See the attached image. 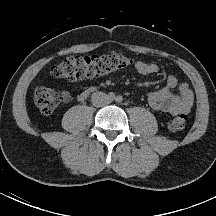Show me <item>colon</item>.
Masks as SVG:
<instances>
[{
    "label": "colon",
    "mask_w": 216,
    "mask_h": 216,
    "mask_svg": "<svg viewBox=\"0 0 216 216\" xmlns=\"http://www.w3.org/2000/svg\"><path fill=\"white\" fill-rule=\"evenodd\" d=\"M132 64L133 60L122 53L114 52L101 56L71 55L55 65L51 69V75L58 79L81 80L124 69ZM69 99L68 93L54 91L44 86L38 87L34 94L35 104L44 115L52 113ZM186 122L187 116L180 114L170 119L168 127L171 131H181L185 128Z\"/></svg>",
    "instance_id": "5ec220e1"
}]
</instances>
